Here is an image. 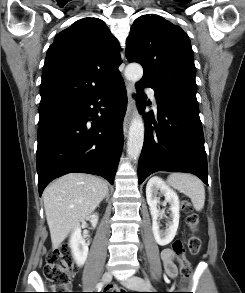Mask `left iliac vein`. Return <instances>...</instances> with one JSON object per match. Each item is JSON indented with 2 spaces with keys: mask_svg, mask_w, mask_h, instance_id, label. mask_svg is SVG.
<instances>
[{
  "mask_svg": "<svg viewBox=\"0 0 245 293\" xmlns=\"http://www.w3.org/2000/svg\"><path fill=\"white\" fill-rule=\"evenodd\" d=\"M122 284L129 288L134 290H140L143 289L145 286L151 288V283L149 281H144L140 277L137 276H131L127 280L123 281Z\"/></svg>",
  "mask_w": 245,
  "mask_h": 293,
  "instance_id": "1",
  "label": "left iliac vein"
}]
</instances>
